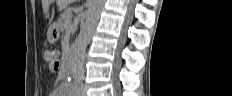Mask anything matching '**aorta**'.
<instances>
[{
    "instance_id": "aorta-1",
    "label": "aorta",
    "mask_w": 232,
    "mask_h": 96,
    "mask_svg": "<svg viewBox=\"0 0 232 96\" xmlns=\"http://www.w3.org/2000/svg\"><path fill=\"white\" fill-rule=\"evenodd\" d=\"M103 4L104 0H89L86 20L81 27L72 55V71L77 75H82L84 72L85 50L99 20Z\"/></svg>"
}]
</instances>
